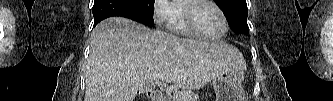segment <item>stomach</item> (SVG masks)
<instances>
[{
  "instance_id": "0dacf381",
  "label": "stomach",
  "mask_w": 333,
  "mask_h": 101,
  "mask_svg": "<svg viewBox=\"0 0 333 101\" xmlns=\"http://www.w3.org/2000/svg\"><path fill=\"white\" fill-rule=\"evenodd\" d=\"M243 80L244 72L239 68L227 70L212 79L216 101H246L245 91L242 87Z\"/></svg>"
}]
</instances>
